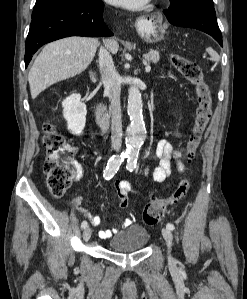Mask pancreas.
<instances>
[{"instance_id": "obj_1", "label": "pancreas", "mask_w": 247, "mask_h": 299, "mask_svg": "<svg viewBox=\"0 0 247 299\" xmlns=\"http://www.w3.org/2000/svg\"><path fill=\"white\" fill-rule=\"evenodd\" d=\"M159 52L156 50H152L144 55V59L147 62L157 63L159 61Z\"/></svg>"}]
</instances>
